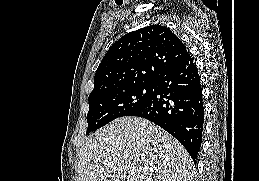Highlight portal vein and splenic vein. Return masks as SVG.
<instances>
[{
	"label": "portal vein and splenic vein",
	"mask_w": 259,
	"mask_h": 181,
	"mask_svg": "<svg viewBox=\"0 0 259 181\" xmlns=\"http://www.w3.org/2000/svg\"><path fill=\"white\" fill-rule=\"evenodd\" d=\"M135 171V169H132V172H134Z\"/></svg>",
	"instance_id": "1"
}]
</instances>
